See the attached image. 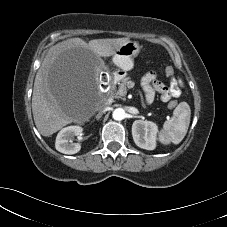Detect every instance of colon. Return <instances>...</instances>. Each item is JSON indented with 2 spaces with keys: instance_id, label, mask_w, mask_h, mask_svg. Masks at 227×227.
<instances>
[{
  "instance_id": "1",
  "label": "colon",
  "mask_w": 227,
  "mask_h": 227,
  "mask_svg": "<svg viewBox=\"0 0 227 227\" xmlns=\"http://www.w3.org/2000/svg\"><path fill=\"white\" fill-rule=\"evenodd\" d=\"M165 74L167 76H172L174 74V70L172 67L168 66L165 68ZM177 105V101L173 100L169 103L170 108H174Z\"/></svg>"
}]
</instances>
